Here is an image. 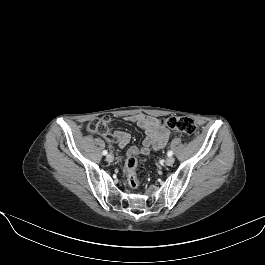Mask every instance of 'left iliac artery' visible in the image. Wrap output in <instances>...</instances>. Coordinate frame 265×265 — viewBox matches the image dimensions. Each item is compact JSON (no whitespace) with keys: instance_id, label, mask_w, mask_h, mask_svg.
<instances>
[{"instance_id":"1","label":"left iliac artery","mask_w":265,"mask_h":265,"mask_svg":"<svg viewBox=\"0 0 265 265\" xmlns=\"http://www.w3.org/2000/svg\"><path fill=\"white\" fill-rule=\"evenodd\" d=\"M167 155L171 157L173 155V152L171 150L168 151Z\"/></svg>"}]
</instances>
